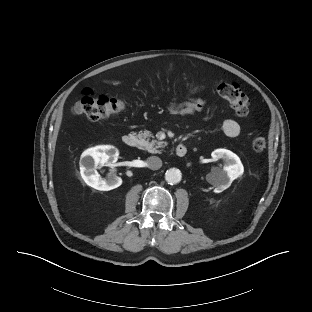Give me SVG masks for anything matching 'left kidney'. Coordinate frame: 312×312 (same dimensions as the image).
I'll return each mask as SVG.
<instances>
[{
  "mask_svg": "<svg viewBox=\"0 0 312 312\" xmlns=\"http://www.w3.org/2000/svg\"><path fill=\"white\" fill-rule=\"evenodd\" d=\"M212 159L224 161L223 169L214 167L210 173L211 183L215 186L214 192L220 193L227 189L233 180L240 177L244 172V167L240 158L230 150L216 149L211 153Z\"/></svg>",
  "mask_w": 312,
  "mask_h": 312,
  "instance_id": "1",
  "label": "left kidney"
}]
</instances>
